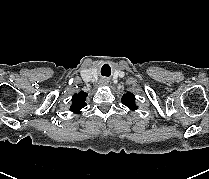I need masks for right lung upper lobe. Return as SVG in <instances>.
<instances>
[{
    "mask_svg": "<svg viewBox=\"0 0 209 179\" xmlns=\"http://www.w3.org/2000/svg\"><path fill=\"white\" fill-rule=\"evenodd\" d=\"M86 97H87V93L83 91L77 94H74L72 97V104H71L70 110L74 113L79 114L80 110L87 105L85 103Z\"/></svg>",
    "mask_w": 209,
    "mask_h": 179,
    "instance_id": "right-lung-upper-lobe-1",
    "label": "right lung upper lobe"
}]
</instances>
